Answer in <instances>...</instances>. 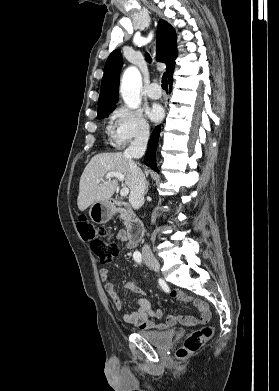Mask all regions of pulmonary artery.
Here are the masks:
<instances>
[{
    "label": "pulmonary artery",
    "instance_id": "e3ab8cb5",
    "mask_svg": "<svg viewBox=\"0 0 279 391\" xmlns=\"http://www.w3.org/2000/svg\"><path fill=\"white\" fill-rule=\"evenodd\" d=\"M146 94L151 99H159L162 96V91L159 88V85L154 82L148 86Z\"/></svg>",
    "mask_w": 279,
    "mask_h": 391
}]
</instances>
